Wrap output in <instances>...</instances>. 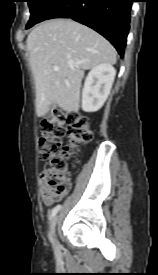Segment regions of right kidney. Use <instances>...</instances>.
I'll use <instances>...</instances> for the list:
<instances>
[{"label": "right kidney", "mask_w": 158, "mask_h": 275, "mask_svg": "<svg viewBox=\"0 0 158 275\" xmlns=\"http://www.w3.org/2000/svg\"><path fill=\"white\" fill-rule=\"evenodd\" d=\"M116 75L109 63L94 67L87 75L82 92V109L85 112L98 111L106 101Z\"/></svg>", "instance_id": "ca27d5eb"}]
</instances>
